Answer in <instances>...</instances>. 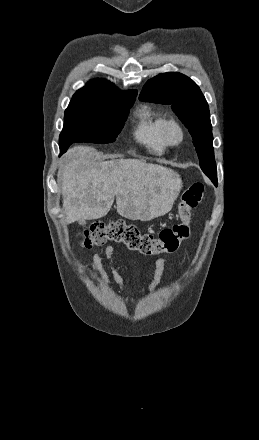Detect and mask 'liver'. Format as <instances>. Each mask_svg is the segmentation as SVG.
I'll list each match as a JSON object with an SVG mask.
<instances>
[{"instance_id":"1","label":"liver","mask_w":259,"mask_h":440,"mask_svg":"<svg viewBox=\"0 0 259 440\" xmlns=\"http://www.w3.org/2000/svg\"><path fill=\"white\" fill-rule=\"evenodd\" d=\"M60 169L67 224L107 215L116 197L117 212L150 221L168 213L181 189L173 170L138 159L104 161L90 147L75 146Z\"/></svg>"}]
</instances>
